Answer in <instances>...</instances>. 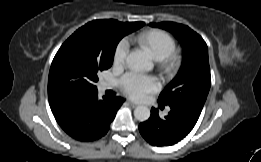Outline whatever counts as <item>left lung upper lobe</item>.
<instances>
[{
  "instance_id": "1",
  "label": "left lung upper lobe",
  "mask_w": 261,
  "mask_h": 162,
  "mask_svg": "<svg viewBox=\"0 0 261 162\" xmlns=\"http://www.w3.org/2000/svg\"><path fill=\"white\" fill-rule=\"evenodd\" d=\"M173 33L183 45L184 61L177 76L165 87L158 102L173 105L189 102L202 110L211 85L208 49L205 41L188 26L174 23H150Z\"/></svg>"
}]
</instances>
